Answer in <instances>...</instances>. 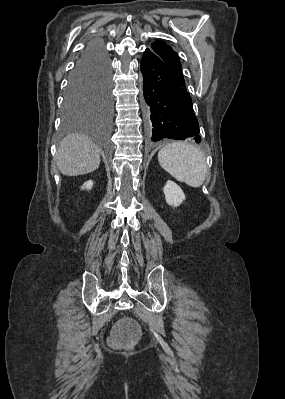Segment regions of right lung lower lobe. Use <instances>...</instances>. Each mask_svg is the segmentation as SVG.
Wrapping results in <instances>:
<instances>
[{"mask_svg":"<svg viewBox=\"0 0 285 399\" xmlns=\"http://www.w3.org/2000/svg\"><path fill=\"white\" fill-rule=\"evenodd\" d=\"M103 54L107 55L103 44L99 43V42H91L88 44V46L85 48V50L81 54V57L78 60L76 66L83 65V64L89 62L90 60H92L94 57L101 56Z\"/></svg>","mask_w":285,"mask_h":399,"instance_id":"obj_1","label":"right lung lower lobe"}]
</instances>
